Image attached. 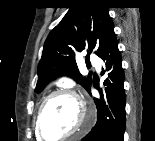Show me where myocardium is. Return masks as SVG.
Here are the masks:
<instances>
[{
  "instance_id": "f54148a6",
  "label": "myocardium",
  "mask_w": 155,
  "mask_h": 141,
  "mask_svg": "<svg viewBox=\"0 0 155 141\" xmlns=\"http://www.w3.org/2000/svg\"><path fill=\"white\" fill-rule=\"evenodd\" d=\"M57 95H66V96L71 97L80 106L81 111H82L81 123L73 131H71V132L67 133L66 135L58 138V140L63 141V140L69 139V138L77 135L80 132L85 131L91 125L92 120H93L92 111L87 106L86 101L78 93H76L75 91H73L72 89H69V88L55 89V90L51 91L50 93H48L42 99L40 106L38 108V111H37V116H36V121H35V129H36V133H37L38 137L43 139V140H55V139H48L45 137V135L42 131V127H41V116H42V112H43V109H44L46 103L52 97L57 96ZM87 116H88V118H87Z\"/></svg>"
}]
</instances>
